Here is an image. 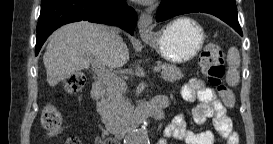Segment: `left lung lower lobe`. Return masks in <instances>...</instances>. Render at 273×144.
Here are the masks:
<instances>
[{
    "instance_id": "obj_1",
    "label": "left lung lower lobe",
    "mask_w": 273,
    "mask_h": 144,
    "mask_svg": "<svg viewBox=\"0 0 273 144\" xmlns=\"http://www.w3.org/2000/svg\"><path fill=\"white\" fill-rule=\"evenodd\" d=\"M191 12L212 14L234 28L241 36L243 35L238 22L235 0H162L156 21L161 22Z\"/></svg>"
}]
</instances>
